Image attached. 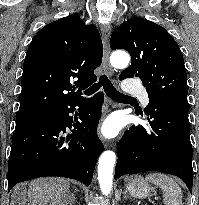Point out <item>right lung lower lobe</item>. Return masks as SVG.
I'll list each match as a JSON object with an SVG mask.
<instances>
[{
    "label": "right lung lower lobe",
    "mask_w": 199,
    "mask_h": 205,
    "mask_svg": "<svg viewBox=\"0 0 199 205\" xmlns=\"http://www.w3.org/2000/svg\"><path fill=\"white\" fill-rule=\"evenodd\" d=\"M103 94L90 100L82 98L64 103L49 116L14 133L8 165V192L19 182L45 176L78 180L86 186L104 146L96 128L101 117ZM79 106L81 122L73 123L69 113ZM72 134L65 135L66 127Z\"/></svg>",
    "instance_id": "1"
}]
</instances>
